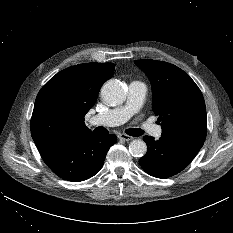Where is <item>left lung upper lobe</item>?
I'll list each match as a JSON object with an SVG mask.
<instances>
[{"instance_id": "left-lung-upper-lobe-1", "label": "left lung upper lobe", "mask_w": 233, "mask_h": 233, "mask_svg": "<svg viewBox=\"0 0 233 233\" xmlns=\"http://www.w3.org/2000/svg\"><path fill=\"white\" fill-rule=\"evenodd\" d=\"M152 86V108L161 122L162 136L205 141L206 107L203 95L183 70L150 59L135 60Z\"/></svg>"}]
</instances>
